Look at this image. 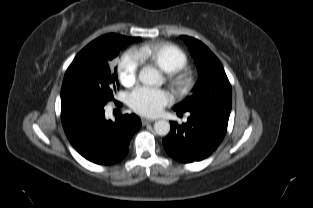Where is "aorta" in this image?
I'll return each mask as SVG.
<instances>
[{
    "label": "aorta",
    "mask_w": 313,
    "mask_h": 208,
    "mask_svg": "<svg viewBox=\"0 0 313 208\" xmlns=\"http://www.w3.org/2000/svg\"><path fill=\"white\" fill-rule=\"evenodd\" d=\"M139 80L145 85H161L160 73L151 67H143L139 72ZM154 130L160 136H166L170 132V123L166 120H158L154 123Z\"/></svg>",
    "instance_id": "762f6f07"
}]
</instances>
